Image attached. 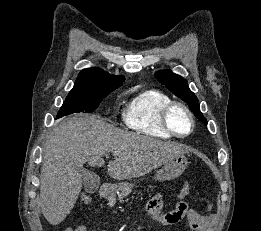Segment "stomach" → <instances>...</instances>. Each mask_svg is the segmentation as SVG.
Returning <instances> with one entry per match:
<instances>
[{"mask_svg": "<svg viewBox=\"0 0 261 231\" xmlns=\"http://www.w3.org/2000/svg\"><path fill=\"white\" fill-rule=\"evenodd\" d=\"M188 165V159L184 154L173 157L164 166L157 171L155 179L158 181H167L179 177ZM124 185L118 186L120 190Z\"/></svg>", "mask_w": 261, "mask_h": 231, "instance_id": "obj_1", "label": "stomach"}]
</instances>
